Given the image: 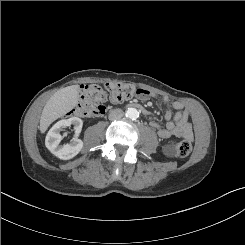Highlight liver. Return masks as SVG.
Masks as SVG:
<instances>
[{
  "label": "liver",
  "instance_id": "1",
  "mask_svg": "<svg viewBox=\"0 0 245 245\" xmlns=\"http://www.w3.org/2000/svg\"><path fill=\"white\" fill-rule=\"evenodd\" d=\"M78 102V85L60 89L45 104L40 117L39 129L44 133L50 124L73 109Z\"/></svg>",
  "mask_w": 245,
  "mask_h": 245
}]
</instances>
